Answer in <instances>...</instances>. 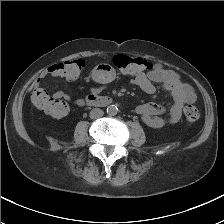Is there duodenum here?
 I'll list each match as a JSON object with an SVG mask.
<instances>
[{
    "instance_id": "obj_1",
    "label": "duodenum",
    "mask_w": 224,
    "mask_h": 224,
    "mask_svg": "<svg viewBox=\"0 0 224 224\" xmlns=\"http://www.w3.org/2000/svg\"><path fill=\"white\" fill-rule=\"evenodd\" d=\"M111 102H112V98L105 97V96L94 97L87 101V103L95 104L97 106H108L111 104Z\"/></svg>"
}]
</instances>
